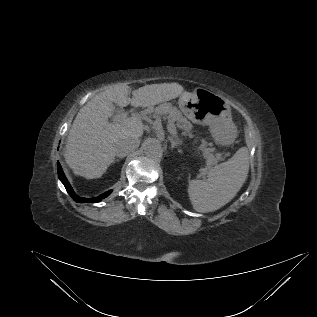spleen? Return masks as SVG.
<instances>
[{"label":"spleen","mask_w":317,"mask_h":317,"mask_svg":"<svg viewBox=\"0 0 317 317\" xmlns=\"http://www.w3.org/2000/svg\"><path fill=\"white\" fill-rule=\"evenodd\" d=\"M249 171V153L240 148L227 162L213 167L205 180H191L188 195L195 211H215L231 201L244 184Z\"/></svg>","instance_id":"3e777b00"}]
</instances>
